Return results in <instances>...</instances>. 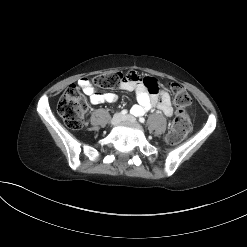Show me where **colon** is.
<instances>
[{"instance_id": "colon-1", "label": "colon", "mask_w": 247, "mask_h": 247, "mask_svg": "<svg viewBox=\"0 0 247 247\" xmlns=\"http://www.w3.org/2000/svg\"><path fill=\"white\" fill-rule=\"evenodd\" d=\"M126 74L113 72L94 77L95 86L103 89L117 88L125 79ZM174 95V102L178 107L176 117L167 134V141L170 144H177L182 141L190 131L191 122L186 108L191 105V96L177 83L169 85ZM57 111L64 123L70 129L77 130L83 126L86 103L79 93L76 85L69 86L59 99Z\"/></svg>"}]
</instances>
